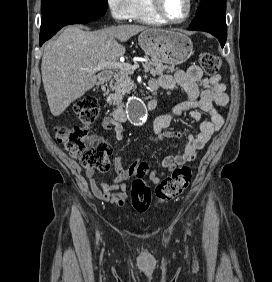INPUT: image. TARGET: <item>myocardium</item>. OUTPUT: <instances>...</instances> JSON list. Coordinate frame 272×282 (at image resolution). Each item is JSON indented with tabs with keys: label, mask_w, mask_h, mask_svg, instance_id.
I'll return each instance as SVG.
<instances>
[{
	"label": "myocardium",
	"mask_w": 272,
	"mask_h": 282,
	"mask_svg": "<svg viewBox=\"0 0 272 282\" xmlns=\"http://www.w3.org/2000/svg\"><path fill=\"white\" fill-rule=\"evenodd\" d=\"M187 2V12L183 18L180 19H174L171 18L164 10L161 0H149V8L162 20H164L167 23H173V24H180L188 20L192 14L193 11V2L192 0H186Z\"/></svg>",
	"instance_id": "f54148a6"
}]
</instances>
